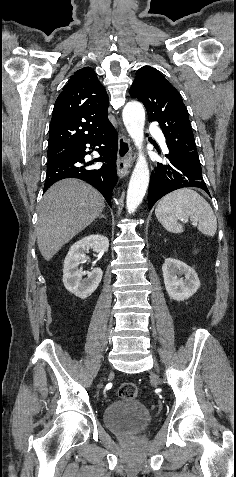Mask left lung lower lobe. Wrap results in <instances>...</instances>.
Returning <instances> with one entry per match:
<instances>
[{"mask_svg":"<svg viewBox=\"0 0 236 477\" xmlns=\"http://www.w3.org/2000/svg\"><path fill=\"white\" fill-rule=\"evenodd\" d=\"M165 156L166 162L157 163L151 175L148 192L149 209L164 195L183 187H197L209 194L198 162L172 152Z\"/></svg>","mask_w":236,"mask_h":477,"instance_id":"left-lung-lower-lobe-1","label":"left lung lower lobe"}]
</instances>
